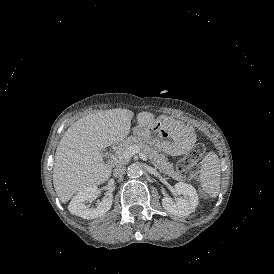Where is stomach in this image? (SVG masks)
<instances>
[{"label": "stomach", "mask_w": 274, "mask_h": 274, "mask_svg": "<svg viewBox=\"0 0 274 274\" xmlns=\"http://www.w3.org/2000/svg\"><path fill=\"white\" fill-rule=\"evenodd\" d=\"M138 135L171 156L184 154L196 142L193 128L165 115H160Z\"/></svg>", "instance_id": "1"}]
</instances>
